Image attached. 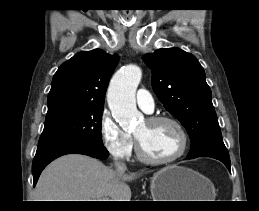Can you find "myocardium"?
<instances>
[{
    "mask_svg": "<svg viewBox=\"0 0 259 211\" xmlns=\"http://www.w3.org/2000/svg\"><path fill=\"white\" fill-rule=\"evenodd\" d=\"M146 121L150 124H160V123H169L173 125L179 135L180 138V146L179 149L175 154H173L170 157L166 158H154L149 156L143 149L139 139L135 136V142H136V152L139 157V159L145 163L153 164V165H162V164H168L172 163L176 160H178L183 154L185 153L187 147H188V135L186 133V130L184 126L181 124L179 120L172 116L167 115H157V116H151L146 119Z\"/></svg>",
    "mask_w": 259,
    "mask_h": 211,
    "instance_id": "myocardium-1",
    "label": "myocardium"
}]
</instances>
